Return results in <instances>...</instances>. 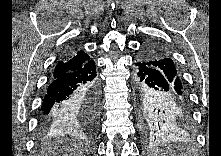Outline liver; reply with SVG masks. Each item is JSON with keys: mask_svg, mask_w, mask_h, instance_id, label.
I'll return each mask as SVG.
<instances>
[{"mask_svg": "<svg viewBox=\"0 0 221 156\" xmlns=\"http://www.w3.org/2000/svg\"><path fill=\"white\" fill-rule=\"evenodd\" d=\"M40 156H84V146L73 139L57 138L39 148Z\"/></svg>", "mask_w": 221, "mask_h": 156, "instance_id": "liver-1", "label": "liver"}]
</instances>
